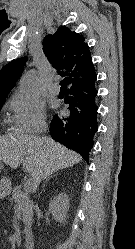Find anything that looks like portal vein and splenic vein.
<instances>
[{"mask_svg":"<svg viewBox=\"0 0 135 249\" xmlns=\"http://www.w3.org/2000/svg\"><path fill=\"white\" fill-rule=\"evenodd\" d=\"M32 189V180L28 179L26 183L24 184V190L26 192H29Z\"/></svg>","mask_w":135,"mask_h":249,"instance_id":"obj_1","label":"portal vein and splenic vein"}]
</instances>
